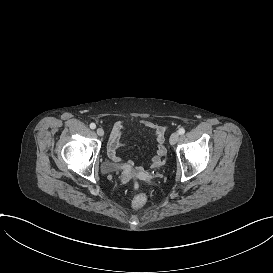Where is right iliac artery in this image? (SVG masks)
I'll return each mask as SVG.
<instances>
[{
	"mask_svg": "<svg viewBox=\"0 0 273 273\" xmlns=\"http://www.w3.org/2000/svg\"><path fill=\"white\" fill-rule=\"evenodd\" d=\"M90 128H91V129H95V128H96L95 123H91V124H90Z\"/></svg>",
	"mask_w": 273,
	"mask_h": 273,
	"instance_id": "1",
	"label": "right iliac artery"
}]
</instances>
